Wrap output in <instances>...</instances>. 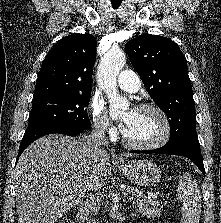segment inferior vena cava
<instances>
[{"label": "inferior vena cava", "instance_id": "inferior-vena-cava-1", "mask_svg": "<svg viewBox=\"0 0 221 223\" xmlns=\"http://www.w3.org/2000/svg\"><path fill=\"white\" fill-rule=\"evenodd\" d=\"M88 146L95 154L99 152L100 146H108V139L105 137V128L101 125L95 126L87 137Z\"/></svg>", "mask_w": 221, "mask_h": 223}]
</instances>
